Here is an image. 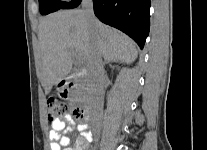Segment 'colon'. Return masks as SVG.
Masks as SVG:
<instances>
[{
    "mask_svg": "<svg viewBox=\"0 0 207 150\" xmlns=\"http://www.w3.org/2000/svg\"><path fill=\"white\" fill-rule=\"evenodd\" d=\"M47 109H48V119L52 121V120L59 119L66 114L67 105L65 102L55 97H50L47 100ZM75 114L78 118H83L81 112L77 111Z\"/></svg>",
    "mask_w": 207,
    "mask_h": 150,
    "instance_id": "1",
    "label": "colon"
}]
</instances>
